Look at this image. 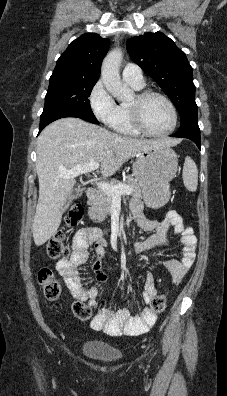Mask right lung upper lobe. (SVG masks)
<instances>
[{"label":"right lung upper lobe","mask_w":227,"mask_h":396,"mask_svg":"<svg viewBox=\"0 0 227 396\" xmlns=\"http://www.w3.org/2000/svg\"><path fill=\"white\" fill-rule=\"evenodd\" d=\"M109 46V39H104L96 33L83 34L59 57L53 74L98 79L101 63Z\"/></svg>","instance_id":"obj_1"}]
</instances>
